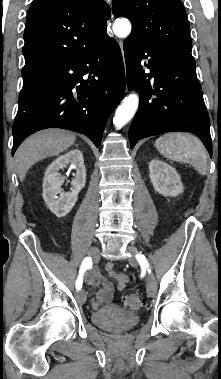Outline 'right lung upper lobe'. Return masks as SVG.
<instances>
[{
  "mask_svg": "<svg viewBox=\"0 0 221 379\" xmlns=\"http://www.w3.org/2000/svg\"><path fill=\"white\" fill-rule=\"evenodd\" d=\"M104 0H33L24 32L22 74L86 51L107 35Z\"/></svg>",
  "mask_w": 221,
  "mask_h": 379,
  "instance_id": "obj_1",
  "label": "right lung upper lobe"
}]
</instances>
